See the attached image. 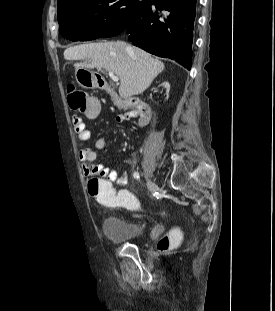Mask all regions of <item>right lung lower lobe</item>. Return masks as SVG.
Here are the masks:
<instances>
[{
	"label": "right lung lower lobe",
	"instance_id": "98d812e1",
	"mask_svg": "<svg viewBox=\"0 0 275 311\" xmlns=\"http://www.w3.org/2000/svg\"><path fill=\"white\" fill-rule=\"evenodd\" d=\"M195 15L196 0H153L129 21L125 32L133 45L190 70ZM95 37L89 34L79 40Z\"/></svg>",
	"mask_w": 275,
	"mask_h": 311
}]
</instances>
